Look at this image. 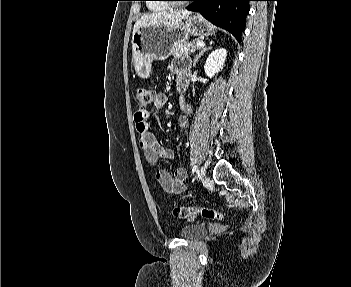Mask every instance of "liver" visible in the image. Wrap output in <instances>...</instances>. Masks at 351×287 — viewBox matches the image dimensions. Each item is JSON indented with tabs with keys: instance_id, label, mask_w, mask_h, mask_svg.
Segmentation results:
<instances>
[{
	"instance_id": "6515ba94",
	"label": "liver",
	"mask_w": 351,
	"mask_h": 287,
	"mask_svg": "<svg viewBox=\"0 0 351 287\" xmlns=\"http://www.w3.org/2000/svg\"><path fill=\"white\" fill-rule=\"evenodd\" d=\"M191 14L190 11H163L143 15L134 25L133 34L140 28L146 26H173L181 23Z\"/></svg>"
}]
</instances>
